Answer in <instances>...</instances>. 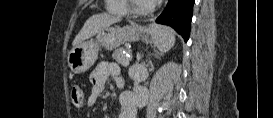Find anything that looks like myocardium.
Returning <instances> with one entry per match:
<instances>
[{
  "instance_id": "f54148a6",
  "label": "myocardium",
  "mask_w": 273,
  "mask_h": 118,
  "mask_svg": "<svg viewBox=\"0 0 273 118\" xmlns=\"http://www.w3.org/2000/svg\"><path fill=\"white\" fill-rule=\"evenodd\" d=\"M154 9L153 5H147L145 8L139 9L135 6L134 0H128L127 1V11L130 14L136 15V16H146L152 13Z\"/></svg>"
}]
</instances>
